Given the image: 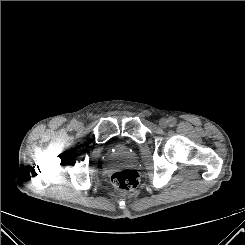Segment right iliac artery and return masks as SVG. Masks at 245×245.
I'll list each match as a JSON object with an SVG mask.
<instances>
[{"instance_id":"right-iliac-artery-1","label":"right iliac artery","mask_w":245,"mask_h":245,"mask_svg":"<svg viewBox=\"0 0 245 245\" xmlns=\"http://www.w3.org/2000/svg\"><path fill=\"white\" fill-rule=\"evenodd\" d=\"M77 124L75 120L71 121L70 127H74Z\"/></svg>"}]
</instances>
